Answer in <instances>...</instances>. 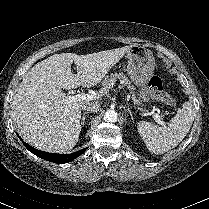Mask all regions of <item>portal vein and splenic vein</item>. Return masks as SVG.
I'll list each match as a JSON object with an SVG mask.
<instances>
[{
    "instance_id": "18ae733b",
    "label": "portal vein and splenic vein",
    "mask_w": 209,
    "mask_h": 209,
    "mask_svg": "<svg viewBox=\"0 0 209 209\" xmlns=\"http://www.w3.org/2000/svg\"><path fill=\"white\" fill-rule=\"evenodd\" d=\"M67 99H68V102L90 101L93 99H98V96L92 95V94L80 93V94H75V95H69ZM153 118L157 124L165 125V122L161 120L158 114H153Z\"/></svg>"
}]
</instances>
